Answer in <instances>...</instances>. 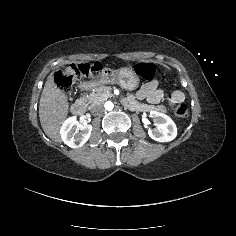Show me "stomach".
<instances>
[{"instance_id": "1", "label": "stomach", "mask_w": 236, "mask_h": 236, "mask_svg": "<svg viewBox=\"0 0 236 236\" xmlns=\"http://www.w3.org/2000/svg\"><path fill=\"white\" fill-rule=\"evenodd\" d=\"M103 82L116 83L122 89L132 91L138 87L139 77L136 72L129 67H123L118 70L108 69V75Z\"/></svg>"}]
</instances>
